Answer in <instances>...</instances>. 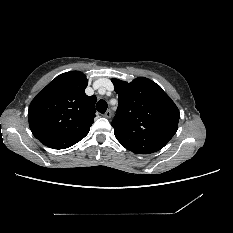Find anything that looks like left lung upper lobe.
I'll list each match as a JSON object with an SVG mask.
<instances>
[{
  "instance_id": "obj_1",
  "label": "left lung upper lobe",
  "mask_w": 233,
  "mask_h": 233,
  "mask_svg": "<svg viewBox=\"0 0 233 233\" xmlns=\"http://www.w3.org/2000/svg\"><path fill=\"white\" fill-rule=\"evenodd\" d=\"M119 106L111 122L116 139L133 153L163 148L177 131L180 113L163 89L145 77L112 79Z\"/></svg>"
}]
</instances>
